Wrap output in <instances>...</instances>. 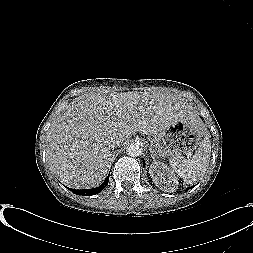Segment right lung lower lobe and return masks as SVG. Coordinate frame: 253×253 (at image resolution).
Returning a JSON list of instances; mask_svg holds the SVG:
<instances>
[{"label": "right lung lower lobe", "mask_w": 253, "mask_h": 253, "mask_svg": "<svg viewBox=\"0 0 253 253\" xmlns=\"http://www.w3.org/2000/svg\"><path fill=\"white\" fill-rule=\"evenodd\" d=\"M108 181H109V175L106 178V180L104 181V183L99 187H96L93 189H88V190H75V189H70V190L73 191V193L83 195V196L94 195V194L101 192L104 189V187H106L108 185Z\"/></svg>", "instance_id": "obj_1"}]
</instances>
